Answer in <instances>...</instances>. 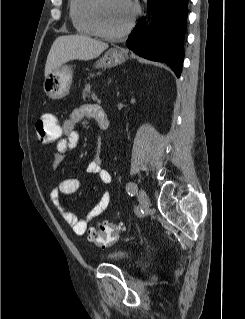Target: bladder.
<instances>
[{"instance_id": "bladder-1", "label": "bladder", "mask_w": 245, "mask_h": 319, "mask_svg": "<svg viewBox=\"0 0 245 319\" xmlns=\"http://www.w3.org/2000/svg\"><path fill=\"white\" fill-rule=\"evenodd\" d=\"M105 257L114 262H126L128 259L127 253L122 249H115L108 252Z\"/></svg>"}]
</instances>
